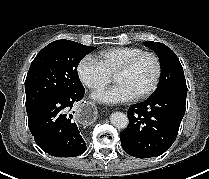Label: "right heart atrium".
Here are the masks:
<instances>
[{"mask_svg":"<svg viewBox=\"0 0 209 179\" xmlns=\"http://www.w3.org/2000/svg\"><path fill=\"white\" fill-rule=\"evenodd\" d=\"M77 73L81 82L92 91H99L110 82V75L90 56L79 61Z\"/></svg>","mask_w":209,"mask_h":179,"instance_id":"obj_1","label":"right heart atrium"}]
</instances>
